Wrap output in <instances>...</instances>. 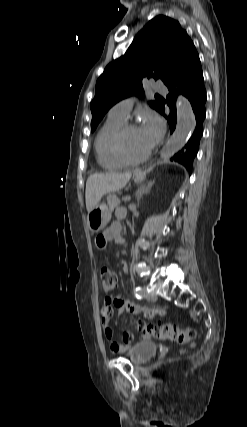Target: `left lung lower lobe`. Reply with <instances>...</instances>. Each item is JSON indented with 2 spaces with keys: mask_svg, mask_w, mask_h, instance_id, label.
Returning a JSON list of instances; mask_svg holds the SVG:
<instances>
[{
  "mask_svg": "<svg viewBox=\"0 0 247 427\" xmlns=\"http://www.w3.org/2000/svg\"><path fill=\"white\" fill-rule=\"evenodd\" d=\"M166 86L169 89L167 105L170 107V114L168 116L164 114V105H161L159 112L167 119L171 133L176 127V98L179 93L188 98L195 114L196 126L190 139L183 149L171 159L183 164L191 172L193 159L197 154L199 142L203 134V121L206 115V90L204 88V78L199 56L185 72Z\"/></svg>",
  "mask_w": 247,
  "mask_h": 427,
  "instance_id": "1",
  "label": "left lung lower lobe"
}]
</instances>
